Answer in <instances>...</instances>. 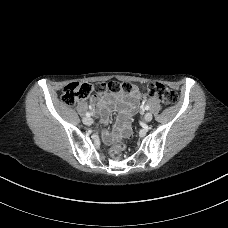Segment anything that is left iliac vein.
Returning a JSON list of instances; mask_svg holds the SVG:
<instances>
[{"label":"left iliac vein","mask_w":228,"mask_h":228,"mask_svg":"<svg viewBox=\"0 0 228 228\" xmlns=\"http://www.w3.org/2000/svg\"><path fill=\"white\" fill-rule=\"evenodd\" d=\"M153 116L150 112L146 113L144 116L145 122H150L152 120Z\"/></svg>","instance_id":"4c4485c4"}]
</instances>
